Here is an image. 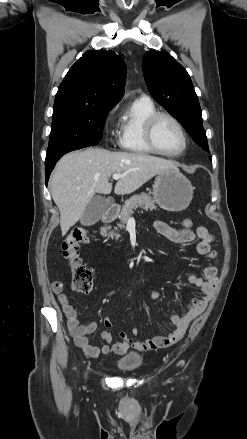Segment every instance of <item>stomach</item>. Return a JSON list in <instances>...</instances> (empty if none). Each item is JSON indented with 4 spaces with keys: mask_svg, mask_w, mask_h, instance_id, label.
<instances>
[{
    "mask_svg": "<svg viewBox=\"0 0 247 439\" xmlns=\"http://www.w3.org/2000/svg\"><path fill=\"white\" fill-rule=\"evenodd\" d=\"M152 194L161 208L179 212L189 206L193 198V186L178 168H172L157 174Z\"/></svg>",
    "mask_w": 247,
    "mask_h": 439,
    "instance_id": "obj_1",
    "label": "stomach"
}]
</instances>
